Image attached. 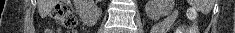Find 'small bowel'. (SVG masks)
Listing matches in <instances>:
<instances>
[{"label": "small bowel", "mask_w": 235, "mask_h": 33, "mask_svg": "<svg viewBox=\"0 0 235 33\" xmlns=\"http://www.w3.org/2000/svg\"><path fill=\"white\" fill-rule=\"evenodd\" d=\"M177 18L176 11H173L163 21L157 23L151 29V33H169Z\"/></svg>", "instance_id": "1"}]
</instances>
